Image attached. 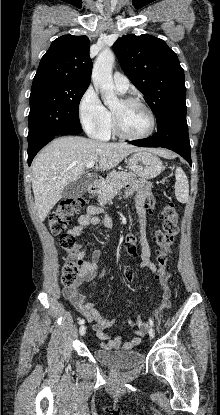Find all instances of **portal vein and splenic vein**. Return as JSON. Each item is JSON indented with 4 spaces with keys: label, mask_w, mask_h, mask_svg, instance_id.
I'll return each mask as SVG.
<instances>
[{
    "label": "portal vein and splenic vein",
    "mask_w": 220,
    "mask_h": 415,
    "mask_svg": "<svg viewBox=\"0 0 220 415\" xmlns=\"http://www.w3.org/2000/svg\"><path fill=\"white\" fill-rule=\"evenodd\" d=\"M94 165H95V161H90V162L87 164V168H92Z\"/></svg>",
    "instance_id": "obj_1"
}]
</instances>
